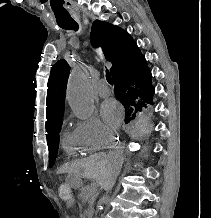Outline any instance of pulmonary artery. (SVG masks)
Here are the masks:
<instances>
[{
  "mask_svg": "<svg viewBox=\"0 0 211 218\" xmlns=\"http://www.w3.org/2000/svg\"><path fill=\"white\" fill-rule=\"evenodd\" d=\"M96 92L101 97H107L111 94V89L108 82L105 79L99 80L96 85Z\"/></svg>",
  "mask_w": 211,
  "mask_h": 218,
  "instance_id": "e3ab8cb5",
  "label": "pulmonary artery"
}]
</instances>
